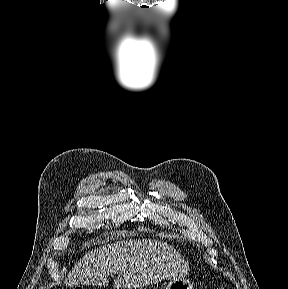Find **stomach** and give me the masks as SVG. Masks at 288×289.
<instances>
[{
  "mask_svg": "<svg viewBox=\"0 0 288 289\" xmlns=\"http://www.w3.org/2000/svg\"><path fill=\"white\" fill-rule=\"evenodd\" d=\"M166 289H193V286L186 278L176 277L167 283Z\"/></svg>",
  "mask_w": 288,
  "mask_h": 289,
  "instance_id": "obj_1",
  "label": "stomach"
}]
</instances>
